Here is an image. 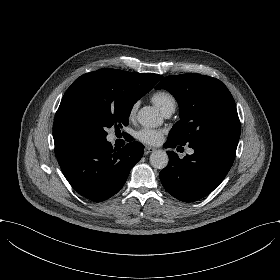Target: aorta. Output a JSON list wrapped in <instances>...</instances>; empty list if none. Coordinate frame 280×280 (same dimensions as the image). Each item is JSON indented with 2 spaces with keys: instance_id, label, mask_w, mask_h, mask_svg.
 <instances>
[{
  "instance_id": "obj_1",
  "label": "aorta",
  "mask_w": 280,
  "mask_h": 280,
  "mask_svg": "<svg viewBox=\"0 0 280 280\" xmlns=\"http://www.w3.org/2000/svg\"><path fill=\"white\" fill-rule=\"evenodd\" d=\"M138 122L144 128H156L163 124V118L159 110L152 106H145L138 111ZM169 158L165 151L155 150L150 155V164L156 169H164L168 164Z\"/></svg>"
}]
</instances>
